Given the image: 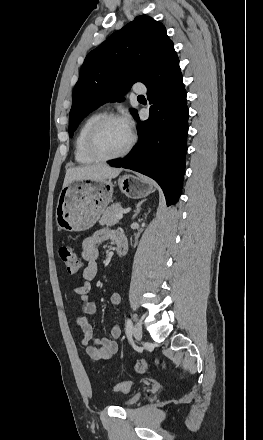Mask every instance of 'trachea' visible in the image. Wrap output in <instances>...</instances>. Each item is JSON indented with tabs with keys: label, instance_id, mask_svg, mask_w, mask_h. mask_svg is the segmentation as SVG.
I'll return each mask as SVG.
<instances>
[{
	"label": "trachea",
	"instance_id": "3493384b",
	"mask_svg": "<svg viewBox=\"0 0 263 440\" xmlns=\"http://www.w3.org/2000/svg\"><path fill=\"white\" fill-rule=\"evenodd\" d=\"M138 97H144L143 95H140V96H138Z\"/></svg>",
	"mask_w": 263,
	"mask_h": 440
}]
</instances>
